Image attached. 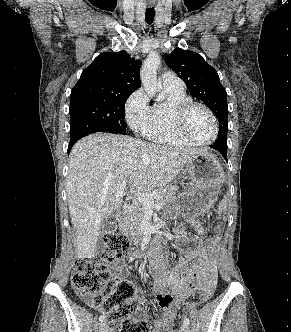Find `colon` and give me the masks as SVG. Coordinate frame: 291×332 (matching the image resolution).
Instances as JSON below:
<instances>
[{"label":"colon","mask_w":291,"mask_h":332,"mask_svg":"<svg viewBox=\"0 0 291 332\" xmlns=\"http://www.w3.org/2000/svg\"><path fill=\"white\" fill-rule=\"evenodd\" d=\"M104 244L93 258L76 262L73 288L88 305L106 312L110 332H149L145 323L131 318L138 307L135 287L125 280L116 281L109 271L111 263L129 255L131 241L124 234L109 233ZM214 290L215 283L202 289L200 301L207 302Z\"/></svg>","instance_id":"obj_1"}]
</instances>
